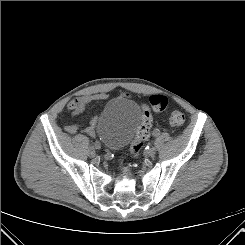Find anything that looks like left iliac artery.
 Masks as SVG:
<instances>
[{
    "label": "left iliac artery",
    "mask_w": 245,
    "mask_h": 245,
    "mask_svg": "<svg viewBox=\"0 0 245 245\" xmlns=\"http://www.w3.org/2000/svg\"><path fill=\"white\" fill-rule=\"evenodd\" d=\"M161 135H162V130L160 128L154 130L155 137H160Z\"/></svg>",
    "instance_id": "44dca946"
}]
</instances>
